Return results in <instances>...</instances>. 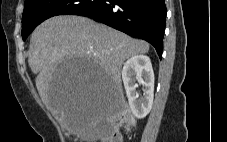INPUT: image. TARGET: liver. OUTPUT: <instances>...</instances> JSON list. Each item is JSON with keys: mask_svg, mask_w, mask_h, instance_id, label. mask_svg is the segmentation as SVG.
Masks as SVG:
<instances>
[{"mask_svg": "<svg viewBox=\"0 0 227 142\" xmlns=\"http://www.w3.org/2000/svg\"><path fill=\"white\" fill-rule=\"evenodd\" d=\"M28 63L37 74L36 86L42 102L69 131L84 134L102 112L101 96H121V68L130 57L146 54L149 44L81 16L64 15L47 19L31 36ZM59 61H94L100 78L94 88H61L53 81Z\"/></svg>", "mask_w": 227, "mask_h": 142, "instance_id": "6515ba94", "label": "liver"}]
</instances>
